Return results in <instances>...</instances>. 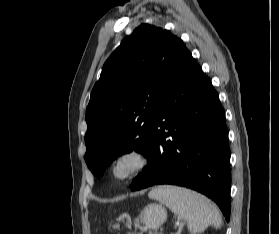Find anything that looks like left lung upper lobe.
Instances as JSON below:
<instances>
[{"instance_id": "5c2ea615", "label": "left lung upper lobe", "mask_w": 279, "mask_h": 234, "mask_svg": "<svg viewBox=\"0 0 279 234\" xmlns=\"http://www.w3.org/2000/svg\"><path fill=\"white\" fill-rule=\"evenodd\" d=\"M184 47L170 31L142 24L105 62L85 115V161L98 178L124 153L148 156L155 110Z\"/></svg>"}]
</instances>
